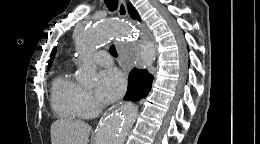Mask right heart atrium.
<instances>
[{
  "label": "right heart atrium",
  "mask_w": 260,
  "mask_h": 144,
  "mask_svg": "<svg viewBox=\"0 0 260 144\" xmlns=\"http://www.w3.org/2000/svg\"><path fill=\"white\" fill-rule=\"evenodd\" d=\"M80 102L85 116L92 114L97 107L93 94L86 89H82Z\"/></svg>",
  "instance_id": "1"
}]
</instances>
